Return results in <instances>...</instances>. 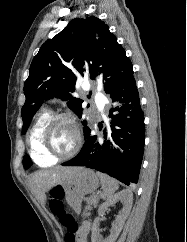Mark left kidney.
Here are the masks:
<instances>
[{"instance_id": "left-kidney-1", "label": "left kidney", "mask_w": 187, "mask_h": 242, "mask_svg": "<svg viewBox=\"0 0 187 242\" xmlns=\"http://www.w3.org/2000/svg\"><path fill=\"white\" fill-rule=\"evenodd\" d=\"M121 201L123 203V209L122 211L119 212V215L116 217L111 233L109 237L103 240L102 236L100 235L99 232V224H100V217L104 215L106 209L115 204L116 202ZM133 204V194L130 190H123L120 191L119 193L113 195L112 197L108 198L105 203L100 205L98 209V217L94 220L93 226H92V236L91 240L92 242H115L117 239L118 235L120 234L124 222L131 210Z\"/></svg>"}]
</instances>
